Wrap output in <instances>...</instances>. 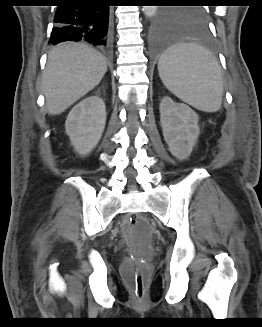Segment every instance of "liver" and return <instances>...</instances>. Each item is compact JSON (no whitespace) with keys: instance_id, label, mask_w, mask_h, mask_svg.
I'll return each mask as SVG.
<instances>
[{"instance_id":"1","label":"liver","mask_w":262,"mask_h":327,"mask_svg":"<svg viewBox=\"0 0 262 327\" xmlns=\"http://www.w3.org/2000/svg\"><path fill=\"white\" fill-rule=\"evenodd\" d=\"M107 72L105 58L84 44L65 42L48 54L42 92L50 115H59L95 88Z\"/></svg>"}]
</instances>
